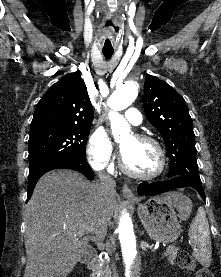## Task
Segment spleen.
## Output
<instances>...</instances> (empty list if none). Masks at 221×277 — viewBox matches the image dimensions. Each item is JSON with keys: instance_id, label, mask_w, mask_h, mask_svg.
Listing matches in <instances>:
<instances>
[{"instance_id": "3e777b00", "label": "spleen", "mask_w": 221, "mask_h": 277, "mask_svg": "<svg viewBox=\"0 0 221 277\" xmlns=\"http://www.w3.org/2000/svg\"><path fill=\"white\" fill-rule=\"evenodd\" d=\"M193 256L204 266L211 262V241L209 224L203 209H199L189 229Z\"/></svg>"}]
</instances>
